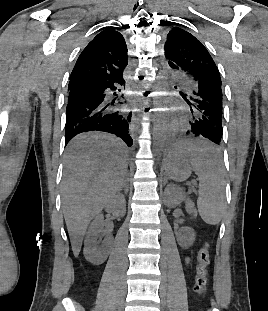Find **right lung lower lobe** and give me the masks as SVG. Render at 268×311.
Returning a JSON list of instances; mask_svg holds the SVG:
<instances>
[{"instance_id":"98d812e1","label":"right lung lower lobe","mask_w":268,"mask_h":311,"mask_svg":"<svg viewBox=\"0 0 268 311\" xmlns=\"http://www.w3.org/2000/svg\"><path fill=\"white\" fill-rule=\"evenodd\" d=\"M118 85H125L123 75L107 81L69 87L65 145L77 134L88 131L115 134L128 146L132 145L129 134L132 113L123 109L124 101L109 100L108 92L117 90Z\"/></svg>"}]
</instances>
